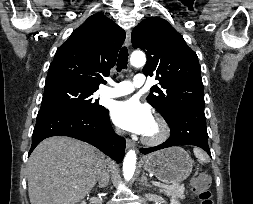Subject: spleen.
I'll return each instance as SVG.
<instances>
[{"instance_id":"obj_1","label":"spleen","mask_w":253,"mask_h":204,"mask_svg":"<svg viewBox=\"0 0 253 204\" xmlns=\"http://www.w3.org/2000/svg\"><path fill=\"white\" fill-rule=\"evenodd\" d=\"M194 154L202 162L208 163L210 161L209 157L199 148H194Z\"/></svg>"}]
</instances>
